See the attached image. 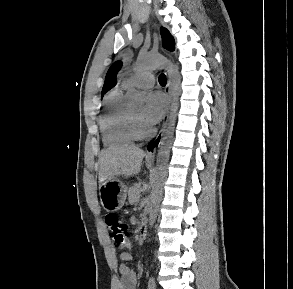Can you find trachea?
Returning a JSON list of instances; mask_svg holds the SVG:
<instances>
[{
    "label": "trachea",
    "mask_w": 293,
    "mask_h": 289,
    "mask_svg": "<svg viewBox=\"0 0 293 289\" xmlns=\"http://www.w3.org/2000/svg\"><path fill=\"white\" fill-rule=\"evenodd\" d=\"M159 83H160V85H162V86H165V85H166V76H165L164 74H161V75L159 76Z\"/></svg>",
    "instance_id": "3493384b"
}]
</instances>
